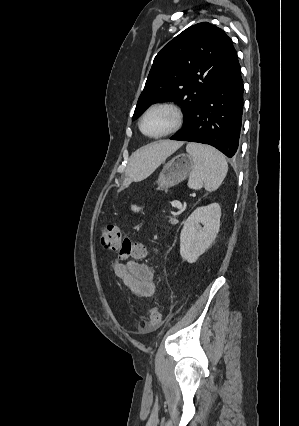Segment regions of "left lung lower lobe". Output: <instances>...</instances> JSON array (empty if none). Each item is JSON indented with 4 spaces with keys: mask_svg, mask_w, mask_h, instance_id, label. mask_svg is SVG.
<instances>
[{
    "mask_svg": "<svg viewBox=\"0 0 299 426\" xmlns=\"http://www.w3.org/2000/svg\"><path fill=\"white\" fill-rule=\"evenodd\" d=\"M243 111V80L235 52L203 100L172 140L211 145L227 157L238 152Z\"/></svg>",
    "mask_w": 299,
    "mask_h": 426,
    "instance_id": "0a47b994",
    "label": "left lung lower lobe"
}]
</instances>
